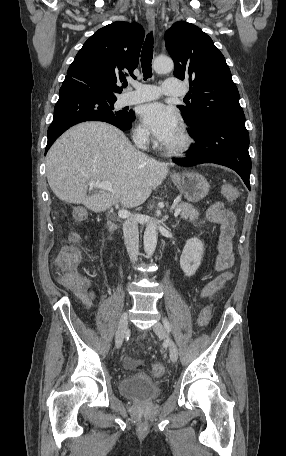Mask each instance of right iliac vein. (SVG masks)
<instances>
[{
  "label": "right iliac vein",
  "mask_w": 286,
  "mask_h": 456,
  "mask_svg": "<svg viewBox=\"0 0 286 456\" xmlns=\"http://www.w3.org/2000/svg\"><path fill=\"white\" fill-rule=\"evenodd\" d=\"M128 331V314L124 312L120 318L116 332V347L120 348Z\"/></svg>",
  "instance_id": "63e3f726"
}]
</instances>
